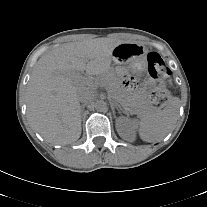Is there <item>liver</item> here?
<instances>
[{
    "mask_svg": "<svg viewBox=\"0 0 207 207\" xmlns=\"http://www.w3.org/2000/svg\"><path fill=\"white\" fill-rule=\"evenodd\" d=\"M120 42L95 38L58 46L34 66L27 85V117L49 143L66 145L81 135L78 92L94 89L97 79L111 69L112 52ZM87 77L78 79L81 72Z\"/></svg>",
    "mask_w": 207,
    "mask_h": 207,
    "instance_id": "1",
    "label": "liver"
}]
</instances>
